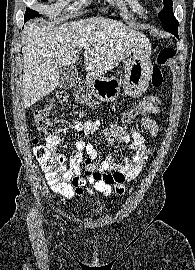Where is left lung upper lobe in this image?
<instances>
[{"label": "left lung upper lobe", "mask_w": 195, "mask_h": 270, "mask_svg": "<svg viewBox=\"0 0 195 270\" xmlns=\"http://www.w3.org/2000/svg\"><path fill=\"white\" fill-rule=\"evenodd\" d=\"M164 9L158 14L163 29L175 34L178 30V22L175 19L172 12V1L171 0H163Z\"/></svg>", "instance_id": "1"}]
</instances>
